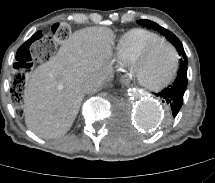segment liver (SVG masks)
Here are the masks:
<instances>
[{
    "label": "liver",
    "mask_w": 215,
    "mask_h": 183,
    "mask_svg": "<svg viewBox=\"0 0 215 183\" xmlns=\"http://www.w3.org/2000/svg\"><path fill=\"white\" fill-rule=\"evenodd\" d=\"M114 40L112 30L88 27L75 31L57 54L26 79L25 123L42 138L67 133L84 98L82 85L105 76Z\"/></svg>",
    "instance_id": "6515ba94"
}]
</instances>
